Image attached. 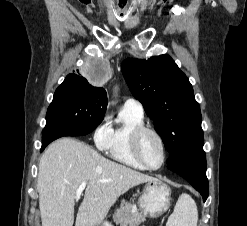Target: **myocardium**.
Returning <instances> with one entry per match:
<instances>
[{
	"label": "myocardium",
	"mask_w": 247,
	"mask_h": 226,
	"mask_svg": "<svg viewBox=\"0 0 247 226\" xmlns=\"http://www.w3.org/2000/svg\"><path fill=\"white\" fill-rule=\"evenodd\" d=\"M144 133H152L153 135H155L157 137V139L159 140L160 144H161V148H162V159L159 165L157 166H150L148 165L144 159L142 158L141 154H140V150H139V141L141 136ZM130 147H131V152L135 158V160L141 165L143 166L145 169L148 170H158L160 169L166 162L167 159V147H166V143L165 140L163 138V136L161 135V133L156 130L155 128L149 127V126H139L137 128H135L132 133H131V137H130Z\"/></svg>",
	"instance_id": "1"
}]
</instances>
